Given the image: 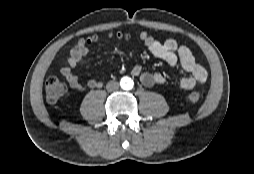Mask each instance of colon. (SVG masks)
<instances>
[{"mask_svg":"<svg viewBox=\"0 0 254 174\" xmlns=\"http://www.w3.org/2000/svg\"><path fill=\"white\" fill-rule=\"evenodd\" d=\"M116 37L119 39H122L124 36L122 34H116ZM98 39L99 37L97 35H93L85 41V44L86 45L92 44L98 41ZM66 92H67V85L62 79L56 76H52L46 80L45 96H46V100L49 103L54 104L58 102L60 99L64 97ZM188 99L192 103H197L200 100V94L198 92H191L188 95Z\"/></svg>","mask_w":254,"mask_h":174,"instance_id":"colon-1","label":"colon"}]
</instances>
